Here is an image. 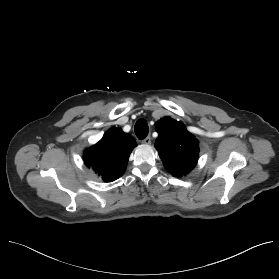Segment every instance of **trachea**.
Masks as SVG:
<instances>
[{"label":"trachea","mask_w":279,"mask_h":279,"mask_svg":"<svg viewBox=\"0 0 279 279\" xmlns=\"http://www.w3.org/2000/svg\"><path fill=\"white\" fill-rule=\"evenodd\" d=\"M149 132L148 124L144 119H139L135 124V133L139 139H144L147 137Z\"/></svg>","instance_id":"trachea-1"}]
</instances>
